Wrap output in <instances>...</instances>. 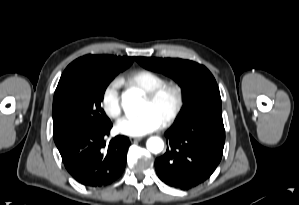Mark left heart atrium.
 I'll list each match as a JSON object with an SVG mask.
<instances>
[{"mask_svg":"<svg viewBox=\"0 0 299 205\" xmlns=\"http://www.w3.org/2000/svg\"><path fill=\"white\" fill-rule=\"evenodd\" d=\"M162 125V120L152 110H145L132 117H125L116 124V130L126 136L141 137L149 134Z\"/></svg>","mask_w":299,"mask_h":205,"instance_id":"39dd6f15","label":"left heart atrium"}]
</instances>
